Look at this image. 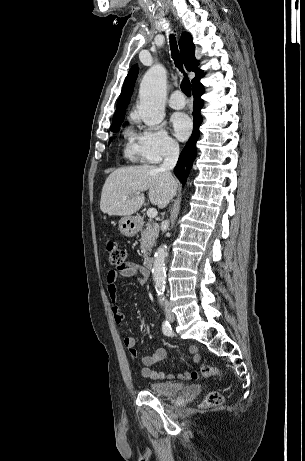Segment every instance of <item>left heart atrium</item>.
Masks as SVG:
<instances>
[{"mask_svg":"<svg viewBox=\"0 0 305 461\" xmlns=\"http://www.w3.org/2000/svg\"><path fill=\"white\" fill-rule=\"evenodd\" d=\"M171 124L175 136L180 140H185L191 133L192 122L190 118L183 113H175L171 117Z\"/></svg>","mask_w":305,"mask_h":461,"instance_id":"left-heart-atrium-1","label":"left heart atrium"}]
</instances>
